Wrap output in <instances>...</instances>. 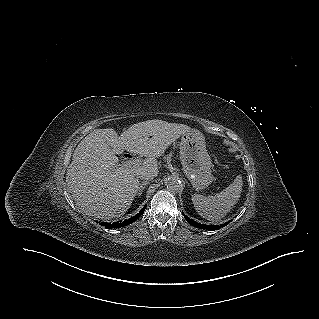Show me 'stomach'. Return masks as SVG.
<instances>
[{"instance_id": "stomach-1", "label": "stomach", "mask_w": 319, "mask_h": 319, "mask_svg": "<svg viewBox=\"0 0 319 319\" xmlns=\"http://www.w3.org/2000/svg\"><path fill=\"white\" fill-rule=\"evenodd\" d=\"M180 158L184 174L195 190L206 189L212 183V163L201 132L192 129L182 135Z\"/></svg>"}]
</instances>
